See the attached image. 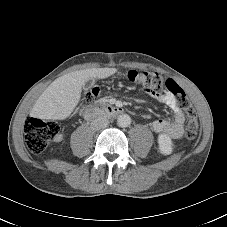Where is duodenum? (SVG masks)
<instances>
[{"mask_svg": "<svg viewBox=\"0 0 227 227\" xmlns=\"http://www.w3.org/2000/svg\"><path fill=\"white\" fill-rule=\"evenodd\" d=\"M124 112L120 107L111 105H90L84 110L86 119H94L98 116H117Z\"/></svg>", "mask_w": 227, "mask_h": 227, "instance_id": "duodenum-1", "label": "duodenum"}]
</instances>
